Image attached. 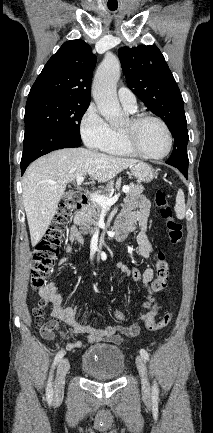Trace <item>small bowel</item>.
Here are the masks:
<instances>
[{
	"mask_svg": "<svg viewBox=\"0 0 213 433\" xmlns=\"http://www.w3.org/2000/svg\"><path fill=\"white\" fill-rule=\"evenodd\" d=\"M150 207V202L143 196L128 198L116 221V226L124 225L131 230H135L136 228L140 229L137 235L138 253L146 260H149L154 252L153 246L149 239L147 227ZM76 242L83 244L84 238L76 226H71L65 245V251L71 255L74 254L73 244ZM71 261L72 260L69 258H64L60 261V264L67 265ZM115 269L121 275L132 278L134 281L138 282L143 287L149 289V291L153 293V289L150 284L154 278V269L151 265H148L144 271H140L137 268H130L124 263H117L115 265ZM39 294L43 298V300H46L52 305V316L55 319L62 320L68 323L71 328V333L85 336L84 341L79 340L66 344V350L71 351L74 349L85 348L88 345L103 340L113 343L121 342L122 339L118 335H116V331L112 327L98 328L89 324L78 322L76 319V308L66 305L63 302V298L54 283H49L48 285L40 289ZM157 309L158 305L157 303H154L150 310V316L152 318H154ZM123 318L124 314L121 320ZM133 327L136 331H138V327ZM56 329V320H50L46 328H40V332L43 338L52 341L55 338Z\"/></svg>",
	"mask_w": 213,
	"mask_h": 433,
	"instance_id": "1",
	"label": "small bowel"
}]
</instances>
